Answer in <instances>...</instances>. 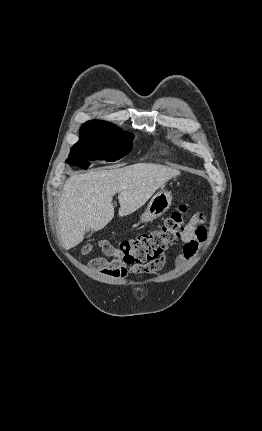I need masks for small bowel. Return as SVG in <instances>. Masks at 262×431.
I'll return each mask as SVG.
<instances>
[{
  "label": "small bowel",
  "mask_w": 262,
  "mask_h": 431,
  "mask_svg": "<svg viewBox=\"0 0 262 431\" xmlns=\"http://www.w3.org/2000/svg\"><path fill=\"white\" fill-rule=\"evenodd\" d=\"M202 221L198 215L193 216L180 236L183 245L182 252L176 257V264L180 265L185 261L191 260L197 253L198 247L206 240L207 232L205 227L200 226ZM94 268L98 269L104 275L115 279L123 280L129 274L150 275L160 270L166 264V258L160 257L155 261L147 264H135L126 266L117 261H109L104 258H94L91 260Z\"/></svg>",
  "instance_id": "obj_1"
}]
</instances>
